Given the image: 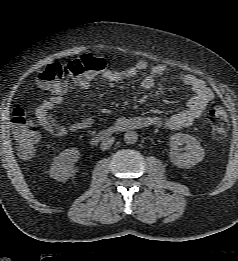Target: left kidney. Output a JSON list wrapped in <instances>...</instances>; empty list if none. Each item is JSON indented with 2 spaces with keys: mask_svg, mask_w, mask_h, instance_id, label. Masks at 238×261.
<instances>
[{
  "mask_svg": "<svg viewBox=\"0 0 238 261\" xmlns=\"http://www.w3.org/2000/svg\"><path fill=\"white\" fill-rule=\"evenodd\" d=\"M186 144L185 151L180 153L179 146ZM170 161L179 168H191L204 159L205 152L193 136L176 133L170 137Z\"/></svg>",
  "mask_w": 238,
  "mask_h": 261,
  "instance_id": "left-kidney-1",
  "label": "left kidney"
}]
</instances>
